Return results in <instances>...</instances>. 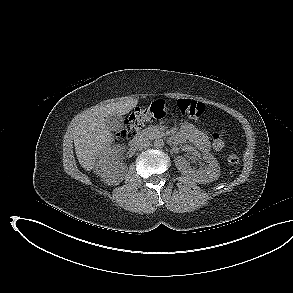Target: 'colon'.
Instances as JSON below:
<instances>
[{"mask_svg": "<svg viewBox=\"0 0 293 293\" xmlns=\"http://www.w3.org/2000/svg\"><path fill=\"white\" fill-rule=\"evenodd\" d=\"M174 110L188 118L198 119L205 113V106L195 100L179 99L174 106ZM169 111V107L162 100H156L146 107L137 108L128 117L124 128L117 134V137L121 140L132 139L137 135L146 122L155 119H162L169 113ZM224 144V132L220 131L215 133L213 135L214 148L221 149ZM228 160L232 165H237L240 161L239 156L236 153L230 154Z\"/></svg>", "mask_w": 293, "mask_h": 293, "instance_id": "obj_1", "label": "colon"}]
</instances>
